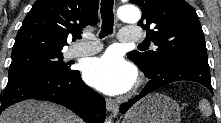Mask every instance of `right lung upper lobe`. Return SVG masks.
I'll use <instances>...</instances> for the list:
<instances>
[{
  "instance_id": "obj_1",
  "label": "right lung upper lobe",
  "mask_w": 221,
  "mask_h": 123,
  "mask_svg": "<svg viewBox=\"0 0 221 123\" xmlns=\"http://www.w3.org/2000/svg\"><path fill=\"white\" fill-rule=\"evenodd\" d=\"M99 0H37L19 29L12 53L61 51L67 40L82 38V28L94 25Z\"/></svg>"
}]
</instances>
